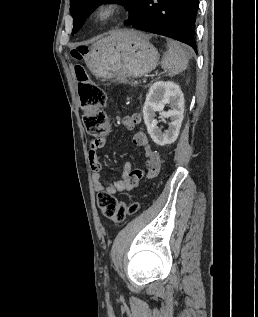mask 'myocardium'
Here are the masks:
<instances>
[{
  "label": "myocardium",
  "instance_id": "f54148a6",
  "mask_svg": "<svg viewBox=\"0 0 258 317\" xmlns=\"http://www.w3.org/2000/svg\"><path fill=\"white\" fill-rule=\"evenodd\" d=\"M121 6L115 1H101L94 10V17L100 22H105L115 17L120 12Z\"/></svg>",
  "mask_w": 258,
  "mask_h": 317
}]
</instances>
